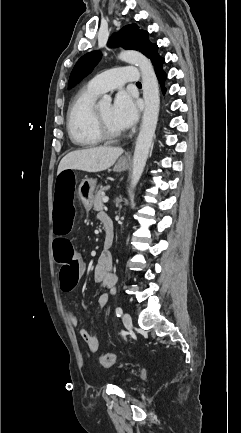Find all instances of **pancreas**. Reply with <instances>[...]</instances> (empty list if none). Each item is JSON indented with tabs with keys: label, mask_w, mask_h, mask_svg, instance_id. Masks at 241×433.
Here are the masks:
<instances>
[{
	"label": "pancreas",
	"mask_w": 241,
	"mask_h": 433,
	"mask_svg": "<svg viewBox=\"0 0 241 433\" xmlns=\"http://www.w3.org/2000/svg\"><path fill=\"white\" fill-rule=\"evenodd\" d=\"M104 190L105 189L99 190L94 197L92 208L95 211H100L103 209V198L105 196Z\"/></svg>",
	"instance_id": "pancreas-1"
}]
</instances>
